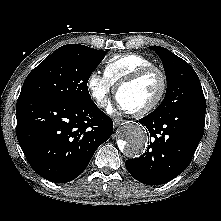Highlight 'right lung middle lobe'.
Here are the masks:
<instances>
[{"instance_id": "obj_1", "label": "right lung middle lobe", "mask_w": 221, "mask_h": 221, "mask_svg": "<svg viewBox=\"0 0 221 221\" xmlns=\"http://www.w3.org/2000/svg\"><path fill=\"white\" fill-rule=\"evenodd\" d=\"M105 51L79 44L58 48L33 69L20 96H35L72 104L91 102L87 82Z\"/></svg>"}]
</instances>
